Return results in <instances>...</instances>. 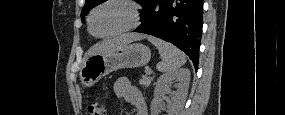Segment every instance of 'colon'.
Here are the masks:
<instances>
[{
    "instance_id": "1",
    "label": "colon",
    "mask_w": 285,
    "mask_h": 115,
    "mask_svg": "<svg viewBox=\"0 0 285 115\" xmlns=\"http://www.w3.org/2000/svg\"><path fill=\"white\" fill-rule=\"evenodd\" d=\"M87 112L90 115H104L105 106L98 101H91L87 105Z\"/></svg>"
}]
</instances>
